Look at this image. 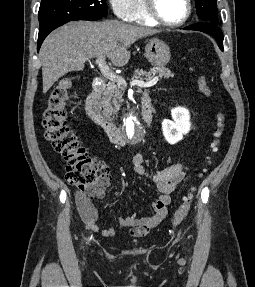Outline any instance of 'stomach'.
Returning <instances> with one entry per match:
<instances>
[{"label":"stomach","instance_id":"obj_1","mask_svg":"<svg viewBox=\"0 0 255 287\" xmlns=\"http://www.w3.org/2000/svg\"><path fill=\"white\" fill-rule=\"evenodd\" d=\"M145 58L152 66H155V68H162V66L168 64L171 58L170 48L168 44H165L162 40L152 38V40H149L148 44H146Z\"/></svg>","mask_w":255,"mask_h":287}]
</instances>
